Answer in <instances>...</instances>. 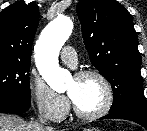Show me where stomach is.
I'll return each instance as SVG.
<instances>
[{
  "label": "stomach",
  "mask_w": 147,
  "mask_h": 131,
  "mask_svg": "<svg viewBox=\"0 0 147 131\" xmlns=\"http://www.w3.org/2000/svg\"><path fill=\"white\" fill-rule=\"evenodd\" d=\"M83 131H99L95 128H84Z\"/></svg>",
  "instance_id": "stomach-1"
}]
</instances>
